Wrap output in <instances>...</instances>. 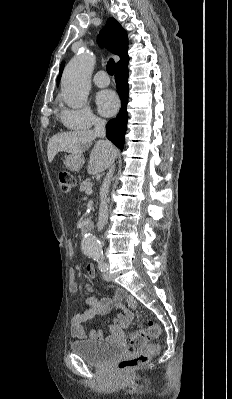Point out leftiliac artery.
Listing matches in <instances>:
<instances>
[{
  "label": "left iliac artery",
  "mask_w": 232,
  "mask_h": 399,
  "mask_svg": "<svg viewBox=\"0 0 232 399\" xmlns=\"http://www.w3.org/2000/svg\"><path fill=\"white\" fill-rule=\"evenodd\" d=\"M90 255L95 261L98 262V266L101 272H106L108 270V264L105 261L104 253H91Z\"/></svg>",
  "instance_id": "left-iliac-artery-1"
}]
</instances>
